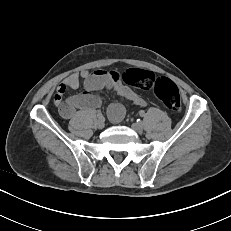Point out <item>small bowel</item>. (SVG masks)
Returning a JSON list of instances; mask_svg holds the SVG:
<instances>
[{
  "label": "small bowel",
  "mask_w": 231,
  "mask_h": 231,
  "mask_svg": "<svg viewBox=\"0 0 231 231\" xmlns=\"http://www.w3.org/2000/svg\"><path fill=\"white\" fill-rule=\"evenodd\" d=\"M81 84L84 87L82 93L68 98L64 97L68 89H77ZM102 89L110 90L125 101L137 106L146 105V101L139 94L122 82L119 72L107 70L94 72L83 70L72 73L59 84L54 95V104L62 118L69 120L75 116L77 110L90 111L98 108L101 100L97 91ZM123 115V110L117 106H111L108 110V116L112 122H119Z\"/></svg>",
  "instance_id": "1"
}]
</instances>
